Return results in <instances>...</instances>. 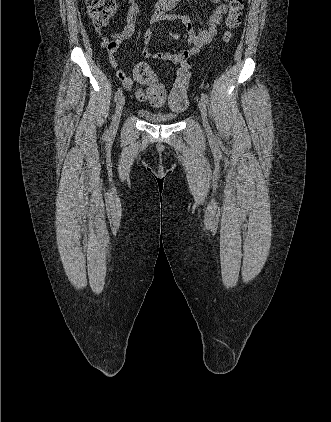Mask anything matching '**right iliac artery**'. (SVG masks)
<instances>
[{"instance_id":"82829eb1","label":"right iliac artery","mask_w":331,"mask_h":422,"mask_svg":"<svg viewBox=\"0 0 331 422\" xmlns=\"http://www.w3.org/2000/svg\"><path fill=\"white\" fill-rule=\"evenodd\" d=\"M121 95H122V89L119 88L115 94L114 100L117 101Z\"/></svg>"}]
</instances>
